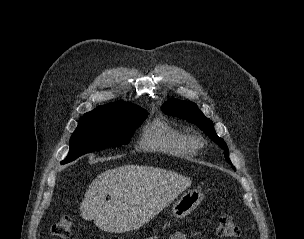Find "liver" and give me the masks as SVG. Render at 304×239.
<instances>
[{
    "mask_svg": "<svg viewBox=\"0 0 304 239\" xmlns=\"http://www.w3.org/2000/svg\"><path fill=\"white\" fill-rule=\"evenodd\" d=\"M192 181L174 171L124 165L99 174L80 206L85 220L110 233L136 230L152 220ZM107 195L110 200L106 201Z\"/></svg>",
    "mask_w": 304,
    "mask_h": 239,
    "instance_id": "1",
    "label": "liver"
}]
</instances>
